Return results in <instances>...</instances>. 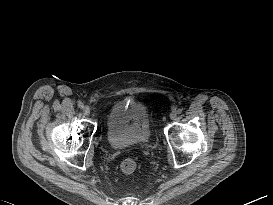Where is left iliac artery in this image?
<instances>
[{"instance_id": "1", "label": "left iliac artery", "mask_w": 273, "mask_h": 205, "mask_svg": "<svg viewBox=\"0 0 273 205\" xmlns=\"http://www.w3.org/2000/svg\"><path fill=\"white\" fill-rule=\"evenodd\" d=\"M177 113H178V114H181V113H182V109H178V110H177Z\"/></svg>"}]
</instances>
